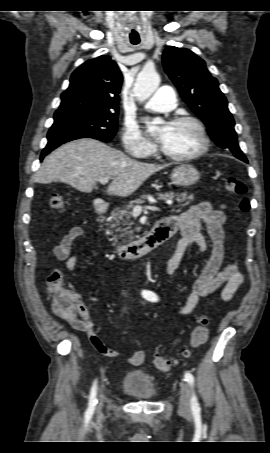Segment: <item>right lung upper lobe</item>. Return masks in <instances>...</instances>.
Segmentation results:
<instances>
[{
  "mask_svg": "<svg viewBox=\"0 0 270 453\" xmlns=\"http://www.w3.org/2000/svg\"><path fill=\"white\" fill-rule=\"evenodd\" d=\"M122 74L109 56L88 60L71 75L54 117L78 112H118Z\"/></svg>",
  "mask_w": 270,
  "mask_h": 453,
  "instance_id": "right-lung-upper-lobe-1",
  "label": "right lung upper lobe"
}]
</instances>
